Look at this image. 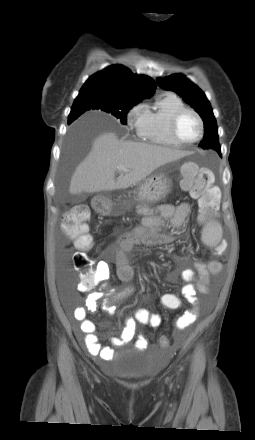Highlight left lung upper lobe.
Masks as SVG:
<instances>
[{
    "mask_svg": "<svg viewBox=\"0 0 255 440\" xmlns=\"http://www.w3.org/2000/svg\"><path fill=\"white\" fill-rule=\"evenodd\" d=\"M156 82L161 88L178 93L196 110L204 122L205 134L200 146L203 149L212 148L221 156L216 119L205 94L181 74H173L164 79L158 78Z\"/></svg>",
    "mask_w": 255,
    "mask_h": 440,
    "instance_id": "5c2ea615",
    "label": "left lung upper lobe"
}]
</instances>
